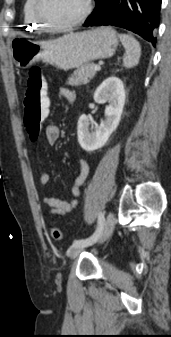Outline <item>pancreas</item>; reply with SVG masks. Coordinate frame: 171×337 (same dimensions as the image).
Masks as SVG:
<instances>
[{
	"label": "pancreas",
	"mask_w": 171,
	"mask_h": 337,
	"mask_svg": "<svg viewBox=\"0 0 171 337\" xmlns=\"http://www.w3.org/2000/svg\"><path fill=\"white\" fill-rule=\"evenodd\" d=\"M95 64L86 63L78 67L74 73L68 78L67 84L70 86H79L87 84L90 79L96 75L94 70Z\"/></svg>",
	"instance_id": "obj_1"
}]
</instances>
